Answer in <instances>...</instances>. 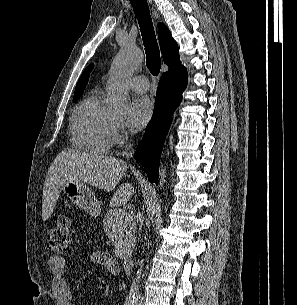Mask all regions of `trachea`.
Masks as SVG:
<instances>
[{"instance_id":"1","label":"trachea","mask_w":297,"mask_h":305,"mask_svg":"<svg viewBox=\"0 0 297 305\" xmlns=\"http://www.w3.org/2000/svg\"><path fill=\"white\" fill-rule=\"evenodd\" d=\"M137 17L146 52V65L153 76L160 72V51L146 0H130Z\"/></svg>"}]
</instances>
